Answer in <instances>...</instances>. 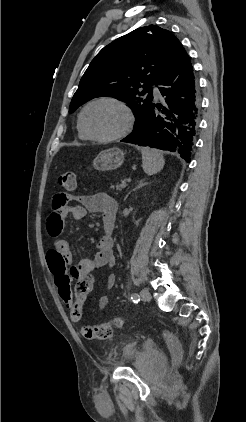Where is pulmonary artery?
<instances>
[{
  "label": "pulmonary artery",
  "instance_id": "obj_1",
  "mask_svg": "<svg viewBox=\"0 0 246 422\" xmlns=\"http://www.w3.org/2000/svg\"><path fill=\"white\" fill-rule=\"evenodd\" d=\"M153 93H154V96L157 98L160 96L159 89L155 86L153 87Z\"/></svg>",
  "mask_w": 246,
  "mask_h": 422
}]
</instances>
